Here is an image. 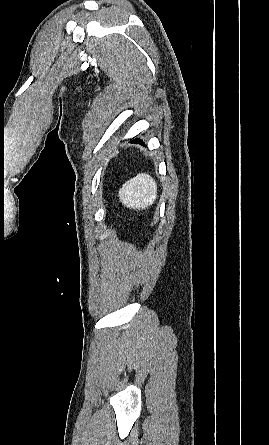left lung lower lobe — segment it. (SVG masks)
Here are the masks:
<instances>
[{"label": "left lung lower lobe", "mask_w": 269, "mask_h": 445, "mask_svg": "<svg viewBox=\"0 0 269 445\" xmlns=\"http://www.w3.org/2000/svg\"><path fill=\"white\" fill-rule=\"evenodd\" d=\"M133 143H142V141L140 140V139H135L134 141H133Z\"/></svg>", "instance_id": "1"}]
</instances>
